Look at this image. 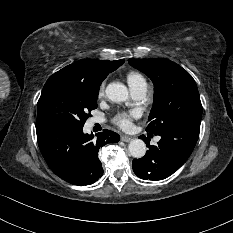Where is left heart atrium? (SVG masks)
<instances>
[{
  "label": "left heart atrium",
  "instance_id": "left-heart-atrium-1",
  "mask_svg": "<svg viewBox=\"0 0 233 233\" xmlns=\"http://www.w3.org/2000/svg\"><path fill=\"white\" fill-rule=\"evenodd\" d=\"M139 117L137 110L123 111L115 115L113 121L122 129H130L132 127V121Z\"/></svg>",
  "mask_w": 233,
  "mask_h": 233
}]
</instances>
